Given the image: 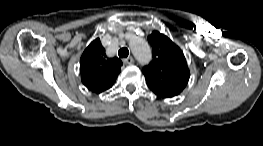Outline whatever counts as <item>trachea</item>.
Instances as JSON below:
<instances>
[{
  "mask_svg": "<svg viewBox=\"0 0 263 146\" xmlns=\"http://www.w3.org/2000/svg\"><path fill=\"white\" fill-rule=\"evenodd\" d=\"M118 55L120 58H126L128 55H129V51L127 48H121L119 51H118Z\"/></svg>",
  "mask_w": 263,
  "mask_h": 146,
  "instance_id": "trachea-1",
  "label": "trachea"
}]
</instances>
